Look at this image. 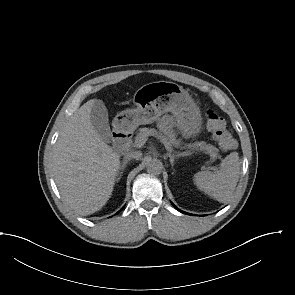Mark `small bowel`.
Returning <instances> with one entry per match:
<instances>
[{"label":"small bowel","instance_id":"c3829d8e","mask_svg":"<svg viewBox=\"0 0 295 295\" xmlns=\"http://www.w3.org/2000/svg\"><path fill=\"white\" fill-rule=\"evenodd\" d=\"M171 121L169 118L167 117H163L161 120H160V126L164 129H168V128H171Z\"/></svg>","mask_w":295,"mask_h":295}]
</instances>
